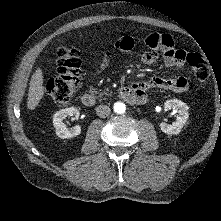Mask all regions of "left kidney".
<instances>
[{"instance_id":"5707ae66","label":"left kidney","mask_w":221,"mask_h":221,"mask_svg":"<svg viewBox=\"0 0 221 221\" xmlns=\"http://www.w3.org/2000/svg\"><path fill=\"white\" fill-rule=\"evenodd\" d=\"M177 110L178 115L176 117V121L173 122L172 124H167L162 122L160 124V128L162 132L168 134V135H177L180 133L181 129L185 125L188 117H189V112H188V105L178 99H170L167 100L164 103V110Z\"/></svg>"}]
</instances>
